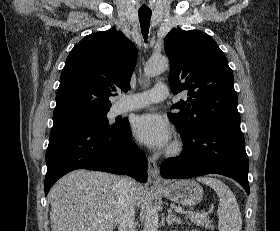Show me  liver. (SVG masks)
Returning <instances> with one entry per match:
<instances>
[{
	"mask_svg": "<svg viewBox=\"0 0 280 231\" xmlns=\"http://www.w3.org/2000/svg\"><path fill=\"white\" fill-rule=\"evenodd\" d=\"M119 175L75 169L61 177L49 191L52 231H113L117 225ZM136 207L145 185L132 187Z\"/></svg>",
	"mask_w": 280,
	"mask_h": 231,
	"instance_id": "obj_1",
	"label": "liver"
}]
</instances>
